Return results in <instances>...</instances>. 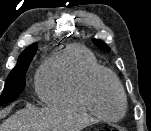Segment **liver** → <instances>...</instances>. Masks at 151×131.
Instances as JSON below:
<instances>
[{
	"label": "liver",
	"instance_id": "liver-1",
	"mask_svg": "<svg viewBox=\"0 0 151 131\" xmlns=\"http://www.w3.org/2000/svg\"><path fill=\"white\" fill-rule=\"evenodd\" d=\"M94 122L87 114L72 109L29 107L5 120L0 131H81Z\"/></svg>",
	"mask_w": 151,
	"mask_h": 131
}]
</instances>
